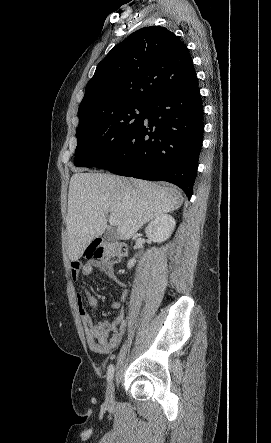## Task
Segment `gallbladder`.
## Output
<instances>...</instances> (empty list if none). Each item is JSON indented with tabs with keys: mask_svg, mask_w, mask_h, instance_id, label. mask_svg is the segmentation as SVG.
Wrapping results in <instances>:
<instances>
[{
	"mask_svg": "<svg viewBox=\"0 0 271 443\" xmlns=\"http://www.w3.org/2000/svg\"><path fill=\"white\" fill-rule=\"evenodd\" d=\"M104 237L107 239V241H115V239H118L116 231H106V233H104Z\"/></svg>",
	"mask_w": 271,
	"mask_h": 443,
	"instance_id": "1",
	"label": "gallbladder"
}]
</instances>
